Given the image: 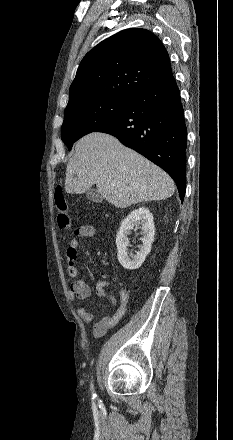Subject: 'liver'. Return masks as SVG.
Instances as JSON below:
<instances>
[{"label":"liver","instance_id":"6515ba94","mask_svg":"<svg viewBox=\"0 0 233 440\" xmlns=\"http://www.w3.org/2000/svg\"><path fill=\"white\" fill-rule=\"evenodd\" d=\"M93 184L117 208L164 200L175 191L174 181L165 171L115 137L100 132L77 141L66 169L67 193L82 194Z\"/></svg>","mask_w":233,"mask_h":440}]
</instances>
